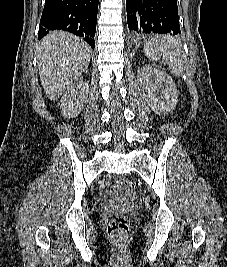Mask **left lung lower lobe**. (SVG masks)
Listing matches in <instances>:
<instances>
[{"mask_svg":"<svg viewBox=\"0 0 227 267\" xmlns=\"http://www.w3.org/2000/svg\"><path fill=\"white\" fill-rule=\"evenodd\" d=\"M127 23L134 39L146 34L181 33L177 0H126Z\"/></svg>","mask_w":227,"mask_h":267,"instance_id":"0a47b994","label":"left lung lower lobe"}]
</instances>
